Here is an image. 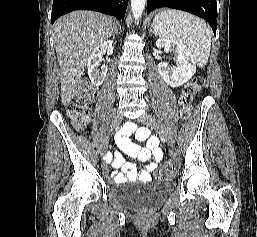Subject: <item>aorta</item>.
I'll use <instances>...</instances> for the list:
<instances>
[{"mask_svg": "<svg viewBox=\"0 0 257 237\" xmlns=\"http://www.w3.org/2000/svg\"><path fill=\"white\" fill-rule=\"evenodd\" d=\"M145 5L146 0H131V12L136 21L141 18Z\"/></svg>", "mask_w": 257, "mask_h": 237, "instance_id": "aorta-1", "label": "aorta"}]
</instances>
